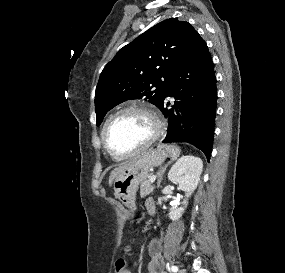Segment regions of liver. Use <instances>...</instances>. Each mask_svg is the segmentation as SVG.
I'll list each match as a JSON object with an SVG mask.
<instances>
[{"label":"liver","instance_id":"1","mask_svg":"<svg viewBox=\"0 0 285 273\" xmlns=\"http://www.w3.org/2000/svg\"><path fill=\"white\" fill-rule=\"evenodd\" d=\"M135 160L123 163L121 165H119L118 167H116L114 170L111 171L110 176H109V185L111 186L113 181L115 180V178L118 176V174L124 170L125 168H127L130 164H132Z\"/></svg>","mask_w":285,"mask_h":273}]
</instances>
